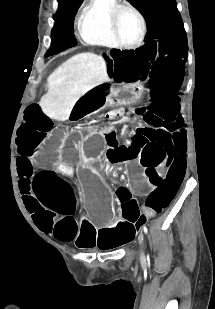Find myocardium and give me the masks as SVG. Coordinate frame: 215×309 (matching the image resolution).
Here are the masks:
<instances>
[{
  "label": "myocardium",
  "mask_w": 215,
  "mask_h": 309,
  "mask_svg": "<svg viewBox=\"0 0 215 309\" xmlns=\"http://www.w3.org/2000/svg\"><path fill=\"white\" fill-rule=\"evenodd\" d=\"M121 11H126V12L131 13L137 21V26H138L137 36L135 40L129 44H123V42H121L122 40L119 38V34H120L118 31V29L120 28L119 15H117L116 13L121 12ZM109 16H111L113 19L112 20V26H113L112 31L114 33L113 37H116V44H113L115 47L117 48H138L142 44L144 37H145L146 28H145V22L143 20V17L139 11H137L135 8L131 6H117L109 11Z\"/></svg>",
  "instance_id": "f54148a6"
}]
</instances>
